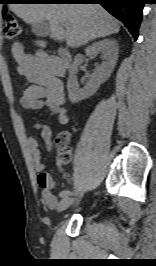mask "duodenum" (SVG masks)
Listing matches in <instances>:
<instances>
[{"label": "duodenum", "instance_id": "1", "mask_svg": "<svg viewBox=\"0 0 156 266\" xmlns=\"http://www.w3.org/2000/svg\"><path fill=\"white\" fill-rule=\"evenodd\" d=\"M71 62V53L67 48H60L55 59L54 68L58 76H62Z\"/></svg>", "mask_w": 156, "mask_h": 266}]
</instances>
